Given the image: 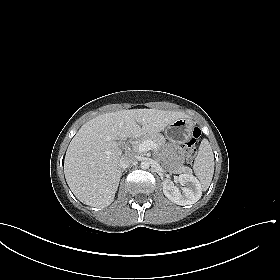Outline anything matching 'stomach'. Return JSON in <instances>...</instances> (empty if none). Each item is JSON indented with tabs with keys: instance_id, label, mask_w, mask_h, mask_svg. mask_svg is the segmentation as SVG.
Masks as SVG:
<instances>
[{
	"instance_id": "obj_1",
	"label": "stomach",
	"mask_w": 280,
	"mask_h": 280,
	"mask_svg": "<svg viewBox=\"0 0 280 280\" xmlns=\"http://www.w3.org/2000/svg\"><path fill=\"white\" fill-rule=\"evenodd\" d=\"M192 129V120L180 118L166 127L165 135L171 141L183 142L191 136Z\"/></svg>"
}]
</instances>
